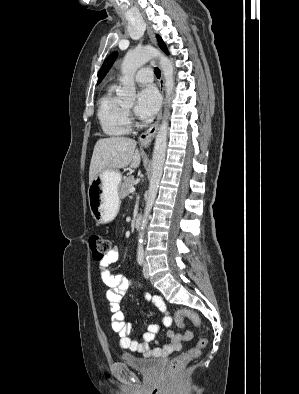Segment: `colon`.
Here are the masks:
<instances>
[{
	"instance_id": "colon-1",
	"label": "colon",
	"mask_w": 299,
	"mask_h": 394,
	"mask_svg": "<svg viewBox=\"0 0 299 394\" xmlns=\"http://www.w3.org/2000/svg\"><path fill=\"white\" fill-rule=\"evenodd\" d=\"M89 246L93 258L95 260H103L111 248V242L102 234L93 233L89 237ZM183 318H189L196 325L200 324L199 316L193 311L185 309L178 310L176 312V320L181 322ZM207 344L208 341L206 338H200L195 346L191 347L188 351L174 357L168 365V370L170 372H176L191 360L198 358L201 354V351L207 346Z\"/></svg>"
}]
</instances>
